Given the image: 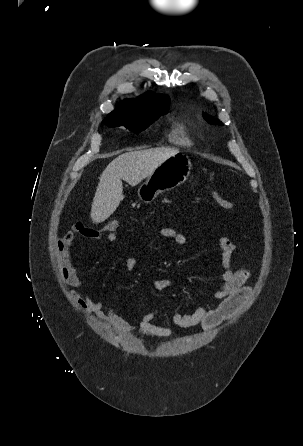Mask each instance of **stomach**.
<instances>
[{"label": "stomach", "mask_w": 303, "mask_h": 446, "mask_svg": "<svg viewBox=\"0 0 303 446\" xmlns=\"http://www.w3.org/2000/svg\"><path fill=\"white\" fill-rule=\"evenodd\" d=\"M192 164L183 154H176L159 165L139 187L138 197L144 203L152 202L160 193L172 190L184 183Z\"/></svg>", "instance_id": "0dacf381"}]
</instances>
